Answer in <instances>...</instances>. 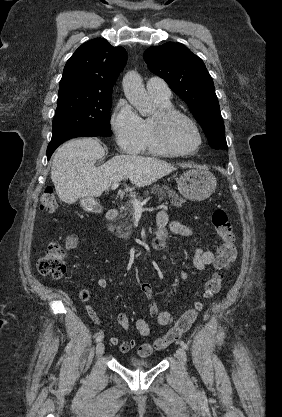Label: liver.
<instances>
[{
    "label": "liver",
    "mask_w": 282,
    "mask_h": 417,
    "mask_svg": "<svg viewBox=\"0 0 282 417\" xmlns=\"http://www.w3.org/2000/svg\"><path fill=\"white\" fill-rule=\"evenodd\" d=\"M104 154L96 138H73L57 148L51 178L61 200L72 204L82 196H101L103 190L123 178H129L135 186H147L177 170L166 160L135 154H117L101 166H94ZM135 186L125 190H134Z\"/></svg>",
    "instance_id": "6515ba94"
}]
</instances>
